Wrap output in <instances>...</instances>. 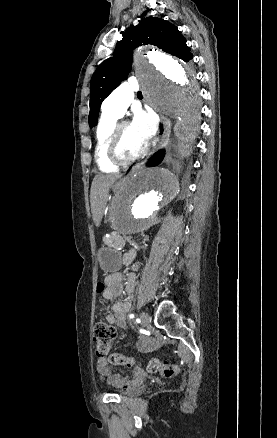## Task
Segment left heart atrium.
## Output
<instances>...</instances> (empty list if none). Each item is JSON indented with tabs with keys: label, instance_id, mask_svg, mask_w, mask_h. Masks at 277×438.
Here are the masks:
<instances>
[{
	"label": "left heart atrium",
	"instance_id": "left-heart-atrium-1",
	"mask_svg": "<svg viewBox=\"0 0 277 438\" xmlns=\"http://www.w3.org/2000/svg\"><path fill=\"white\" fill-rule=\"evenodd\" d=\"M132 127L145 146L154 132V123L151 118L142 111H136L132 122Z\"/></svg>",
	"mask_w": 277,
	"mask_h": 438
}]
</instances>
